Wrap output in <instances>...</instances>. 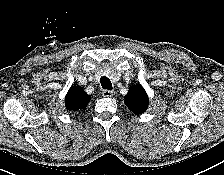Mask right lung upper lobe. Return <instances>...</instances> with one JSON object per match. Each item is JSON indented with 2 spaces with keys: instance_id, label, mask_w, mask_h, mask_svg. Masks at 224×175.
Wrapping results in <instances>:
<instances>
[{
  "instance_id": "cb5924a9",
  "label": "right lung upper lobe",
  "mask_w": 224,
  "mask_h": 175,
  "mask_svg": "<svg viewBox=\"0 0 224 175\" xmlns=\"http://www.w3.org/2000/svg\"><path fill=\"white\" fill-rule=\"evenodd\" d=\"M91 97L81 87L73 86L65 97V106L69 111L85 110Z\"/></svg>"
}]
</instances>
